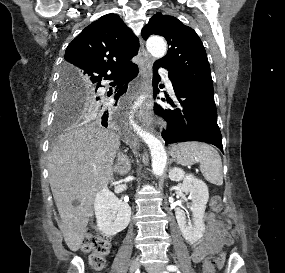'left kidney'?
Listing matches in <instances>:
<instances>
[{
	"instance_id": "left-kidney-1",
	"label": "left kidney",
	"mask_w": 285,
	"mask_h": 273,
	"mask_svg": "<svg viewBox=\"0 0 285 273\" xmlns=\"http://www.w3.org/2000/svg\"><path fill=\"white\" fill-rule=\"evenodd\" d=\"M169 178L176 182L183 180L182 191L191 196L190 211L192 212L193 223L187 222L185 213L180 208L176 209L175 215L183 237L189 243L194 244L203 237L205 231L204 214L209 199L208 187L203 181L191 174H185L181 168L177 167L169 171Z\"/></svg>"
}]
</instances>
